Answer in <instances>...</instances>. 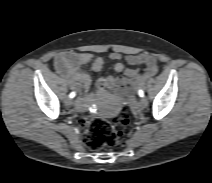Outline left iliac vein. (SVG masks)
Here are the masks:
<instances>
[{"mask_svg": "<svg viewBox=\"0 0 212 183\" xmlns=\"http://www.w3.org/2000/svg\"><path fill=\"white\" fill-rule=\"evenodd\" d=\"M139 104H140V107H141V108H146L147 105H148V100H147V98H146V97H142V98L140 99Z\"/></svg>", "mask_w": 212, "mask_h": 183, "instance_id": "left-iliac-vein-1", "label": "left iliac vein"}]
</instances>
